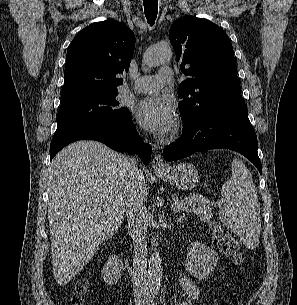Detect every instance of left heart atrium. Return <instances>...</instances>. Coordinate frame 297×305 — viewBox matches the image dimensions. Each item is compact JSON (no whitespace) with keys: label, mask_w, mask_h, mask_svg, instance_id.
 Segmentation results:
<instances>
[{"label":"left heart atrium","mask_w":297,"mask_h":305,"mask_svg":"<svg viewBox=\"0 0 297 305\" xmlns=\"http://www.w3.org/2000/svg\"><path fill=\"white\" fill-rule=\"evenodd\" d=\"M135 115L144 128L158 135L170 132L175 122L173 103L163 96H149L139 101Z\"/></svg>","instance_id":"left-heart-atrium-1"}]
</instances>
